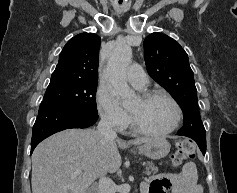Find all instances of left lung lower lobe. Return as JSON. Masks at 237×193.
Segmentation results:
<instances>
[{
  "label": "left lung lower lobe",
  "mask_w": 237,
  "mask_h": 193,
  "mask_svg": "<svg viewBox=\"0 0 237 193\" xmlns=\"http://www.w3.org/2000/svg\"><path fill=\"white\" fill-rule=\"evenodd\" d=\"M203 154L206 152V144L197 143Z\"/></svg>",
  "instance_id": "obj_1"
}]
</instances>
